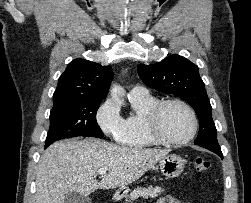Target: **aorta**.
Wrapping results in <instances>:
<instances>
[{
	"instance_id": "1",
	"label": "aorta",
	"mask_w": 251,
	"mask_h": 203,
	"mask_svg": "<svg viewBox=\"0 0 251 203\" xmlns=\"http://www.w3.org/2000/svg\"><path fill=\"white\" fill-rule=\"evenodd\" d=\"M110 94L115 102L121 105L124 104V89L121 86L113 84L110 89Z\"/></svg>"
}]
</instances>
